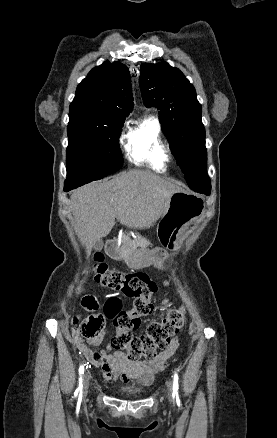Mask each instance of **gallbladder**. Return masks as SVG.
Wrapping results in <instances>:
<instances>
[{
  "label": "gallbladder",
  "mask_w": 277,
  "mask_h": 438,
  "mask_svg": "<svg viewBox=\"0 0 277 438\" xmlns=\"http://www.w3.org/2000/svg\"><path fill=\"white\" fill-rule=\"evenodd\" d=\"M94 248H96L97 251H100L101 248H103L102 242H96Z\"/></svg>",
  "instance_id": "obj_1"
}]
</instances>
